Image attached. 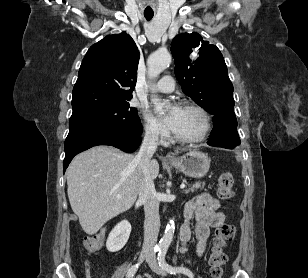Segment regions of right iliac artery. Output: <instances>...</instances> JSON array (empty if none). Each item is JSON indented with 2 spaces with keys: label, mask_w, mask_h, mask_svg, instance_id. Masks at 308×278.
<instances>
[{
  "label": "right iliac artery",
  "mask_w": 308,
  "mask_h": 278,
  "mask_svg": "<svg viewBox=\"0 0 308 278\" xmlns=\"http://www.w3.org/2000/svg\"><path fill=\"white\" fill-rule=\"evenodd\" d=\"M161 250V248L160 247H155L154 248V252L156 253V252H158V251H160ZM138 268H139V263H137V264H135V265H133V266H131L129 269H128V271H127V278H132L133 276H134V274L137 272V270H138Z\"/></svg>",
  "instance_id": "82829eb1"
}]
</instances>
